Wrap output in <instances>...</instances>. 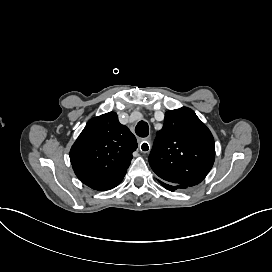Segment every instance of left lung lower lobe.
Returning a JSON list of instances; mask_svg holds the SVG:
<instances>
[{
  "mask_svg": "<svg viewBox=\"0 0 272 272\" xmlns=\"http://www.w3.org/2000/svg\"><path fill=\"white\" fill-rule=\"evenodd\" d=\"M158 182H159L164 188H166L167 190L172 191V192H174L175 190H178V189H186V188H182V187H180V186H177V185H174V184L165 182V181H163V180H161V179H158Z\"/></svg>",
  "mask_w": 272,
  "mask_h": 272,
  "instance_id": "0a47b994",
  "label": "left lung lower lobe"
}]
</instances>
